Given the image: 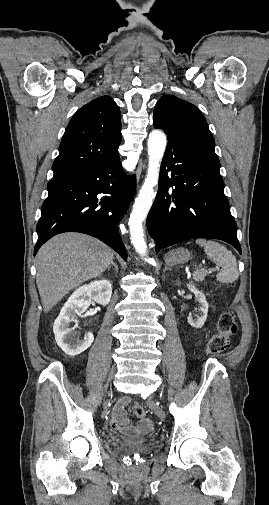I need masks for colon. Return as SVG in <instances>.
Returning a JSON list of instances; mask_svg holds the SVG:
<instances>
[{"mask_svg":"<svg viewBox=\"0 0 269 505\" xmlns=\"http://www.w3.org/2000/svg\"><path fill=\"white\" fill-rule=\"evenodd\" d=\"M238 332V324L233 312H224L218 321L217 332L209 339L206 345V353L218 355L225 351L231 341V338ZM134 412L137 417L143 418L146 414L144 407L136 404Z\"/></svg>","mask_w":269,"mask_h":505,"instance_id":"colon-1","label":"colon"}]
</instances>
